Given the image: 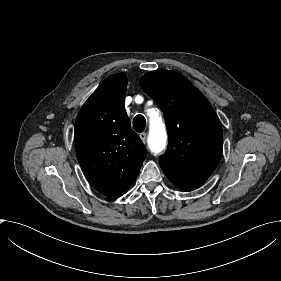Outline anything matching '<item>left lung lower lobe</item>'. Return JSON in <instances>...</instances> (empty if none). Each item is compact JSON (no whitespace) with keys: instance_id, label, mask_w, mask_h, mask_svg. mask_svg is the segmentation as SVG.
I'll return each mask as SVG.
<instances>
[{"instance_id":"left-lung-lower-lobe-1","label":"left lung lower lobe","mask_w":281,"mask_h":281,"mask_svg":"<svg viewBox=\"0 0 281 281\" xmlns=\"http://www.w3.org/2000/svg\"><path fill=\"white\" fill-rule=\"evenodd\" d=\"M168 179L179 189L192 191L197 189L212 174L210 171H189L177 168L171 164L159 161Z\"/></svg>"}]
</instances>
